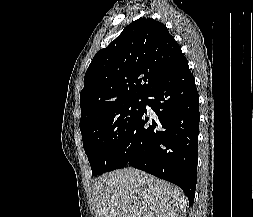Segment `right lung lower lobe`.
Returning a JSON list of instances; mask_svg holds the SVG:
<instances>
[{
  "label": "right lung lower lobe",
  "mask_w": 253,
  "mask_h": 217,
  "mask_svg": "<svg viewBox=\"0 0 253 217\" xmlns=\"http://www.w3.org/2000/svg\"><path fill=\"white\" fill-rule=\"evenodd\" d=\"M150 97V99H148ZM144 107L111 170L127 164L178 185L194 202L197 182L199 96L187 60L146 94ZM110 170V171H111Z\"/></svg>",
  "instance_id": "right-lung-lower-lobe-1"
}]
</instances>
